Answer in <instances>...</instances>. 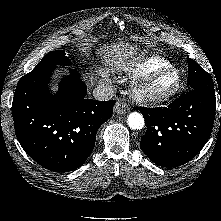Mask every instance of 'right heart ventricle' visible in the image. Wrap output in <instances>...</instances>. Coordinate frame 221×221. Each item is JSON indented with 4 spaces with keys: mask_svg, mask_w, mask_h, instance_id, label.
I'll list each match as a JSON object with an SVG mask.
<instances>
[{
    "mask_svg": "<svg viewBox=\"0 0 221 221\" xmlns=\"http://www.w3.org/2000/svg\"><path fill=\"white\" fill-rule=\"evenodd\" d=\"M172 67V64L161 57L151 56L131 63L126 71L134 76H142L159 69Z\"/></svg>",
    "mask_w": 221,
    "mask_h": 221,
    "instance_id": "e07e8e85",
    "label": "right heart ventricle"
}]
</instances>
